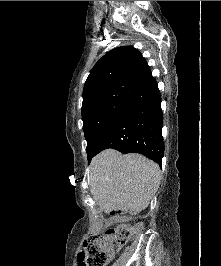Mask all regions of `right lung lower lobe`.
Masks as SVG:
<instances>
[{"instance_id": "right-lung-lower-lobe-1", "label": "right lung lower lobe", "mask_w": 221, "mask_h": 266, "mask_svg": "<svg viewBox=\"0 0 221 266\" xmlns=\"http://www.w3.org/2000/svg\"><path fill=\"white\" fill-rule=\"evenodd\" d=\"M162 125L161 94L152 78L131 98L88 162L100 151L113 148L122 153H140L161 165L164 154Z\"/></svg>"}]
</instances>
